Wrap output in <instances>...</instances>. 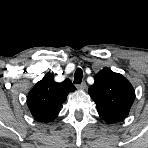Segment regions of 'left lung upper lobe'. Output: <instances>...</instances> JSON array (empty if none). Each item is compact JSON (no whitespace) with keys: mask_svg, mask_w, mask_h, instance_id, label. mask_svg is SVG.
Listing matches in <instances>:
<instances>
[{"mask_svg":"<svg viewBox=\"0 0 148 148\" xmlns=\"http://www.w3.org/2000/svg\"><path fill=\"white\" fill-rule=\"evenodd\" d=\"M89 94L96 103L99 116L107 123L125 119L135 98L131 83L109 68H103L96 74Z\"/></svg>","mask_w":148,"mask_h":148,"instance_id":"5c2ea615","label":"left lung upper lobe"}]
</instances>
